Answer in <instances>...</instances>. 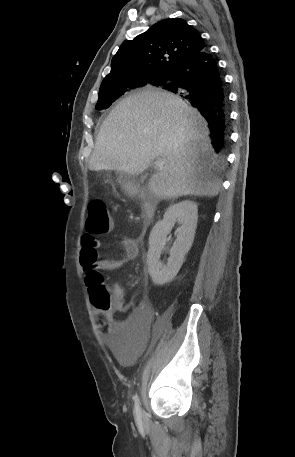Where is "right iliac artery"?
Listing matches in <instances>:
<instances>
[{
	"label": "right iliac artery",
	"mask_w": 295,
	"mask_h": 457,
	"mask_svg": "<svg viewBox=\"0 0 295 457\" xmlns=\"http://www.w3.org/2000/svg\"><path fill=\"white\" fill-rule=\"evenodd\" d=\"M133 400H134V402H135V409H134L135 414H136L138 417H140V416H141V410H140V402H139L138 396L135 395V396L133 397Z\"/></svg>",
	"instance_id": "right-iliac-artery-1"
}]
</instances>
